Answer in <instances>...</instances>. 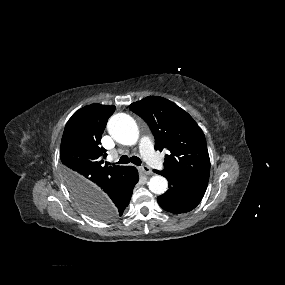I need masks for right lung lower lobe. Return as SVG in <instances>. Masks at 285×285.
<instances>
[{
    "mask_svg": "<svg viewBox=\"0 0 285 285\" xmlns=\"http://www.w3.org/2000/svg\"><path fill=\"white\" fill-rule=\"evenodd\" d=\"M138 180L137 170L129 166L127 173L121 179L105 187L103 193L92 196L88 203L94 207L107 206L114 214L121 216L129 204Z\"/></svg>",
    "mask_w": 285,
    "mask_h": 285,
    "instance_id": "98d812e1",
    "label": "right lung lower lobe"
}]
</instances>
